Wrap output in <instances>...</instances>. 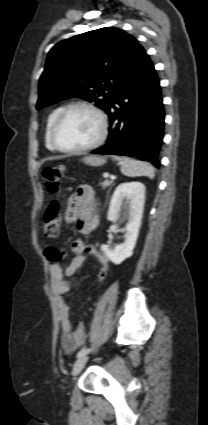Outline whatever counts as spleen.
Listing matches in <instances>:
<instances>
[{
	"label": "spleen",
	"mask_w": 208,
	"mask_h": 425,
	"mask_svg": "<svg viewBox=\"0 0 208 425\" xmlns=\"http://www.w3.org/2000/svg\"><path fill=\"white\" fill-rule=\"evenodd\" d=\"M121 164V172L129 177L146 176L153 179L155 176L154 167L147 162L134 160L128 157H114Z\"/></svg>",
	"instance_id": "3e777b00"
}]
</instances>
